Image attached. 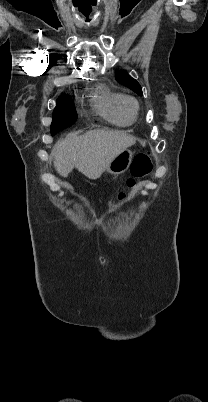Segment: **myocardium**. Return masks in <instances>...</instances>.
<instances>
[{
	"instance_id": "myocardium-1",
	"label": "myocardium",
	"mask_w": 208,
	"mask_h": 402,
	"mask_svg": "<svg viewBox=\"0 0 208 402\" xmlns=\"http://www.w3.org/2000/svg\"><path fill=\"white\" fill-rule=\"evenodd\" d=\"M121 105L124 112L133 118H137L140 111V104L138 100L131 95H123Z\"/></svg>"
}]
</instances>
